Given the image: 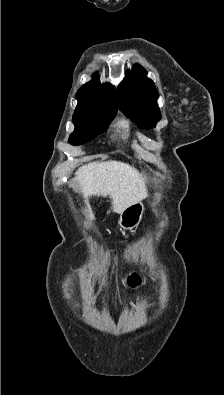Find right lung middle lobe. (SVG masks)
Masks as SVG:
<instances>
[{
  "label": "right lung middle lobe",
  "mask_w": 224,
  "mask_h": 395,
  "mask_svg": "<svg viewBox=\"0 0 224 395\" xmlns=\"http://www.w3.org/2000/svg\"><path fill=\"white\" fill-rule=\"evenodd\" d=\"M77 100L78 105L73 115L75 130L69 139L73 145L83 144L104 132L117 112V110L99 108Z\"/></svg>",
  "instance_id": "right-lung-middle-lobe-1"
}]
</instances>
